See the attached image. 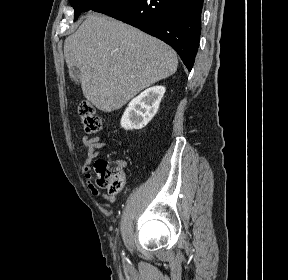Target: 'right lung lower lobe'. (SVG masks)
<instances>
[{"instance_id":"right-lung-lower-lobe-1","label":"right lung lower lobe","mask_w":288,"mask_h":280,"mask_svg":"<svg viewBox=\"0 0 288 280\" xmlns=\"http://www.w3.org/2000/svg\"><path fill=\"white\" fill-rule=\"evenodd\" d=\"M203 0H110L92 9L169 44L190 71L199 46Z\"/></svg>"}]
</instances>
